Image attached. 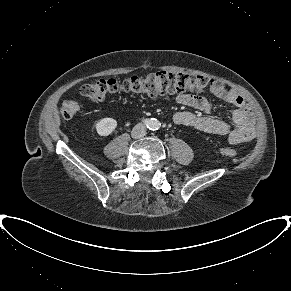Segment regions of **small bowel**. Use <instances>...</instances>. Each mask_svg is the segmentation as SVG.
Here are the masks:
<instances>
[{"label": "small bowel", "mask_w": 291, "mask_h": 291, "mask_svg": "<svg viewBox=\"0 0 291 291\" xmlns=\"http://www.w3.org/2000/svg\"><path fill=\"white\" fill-rule=\"evenodd\" d=\"M214 94L233 106L230 122L207 116H198L189 111L175 113L173 121L180 126L192 127L202 132L225 136L230 144H238L254 139L256 132L252 111L243 98L237 92L224 88ZM176 101L181 105L189 106L205 113L212 111L209 101L201 96L181 93L177 95Z\"/></svg>", "instance_id": "c3829d8e"}]
</instances>
